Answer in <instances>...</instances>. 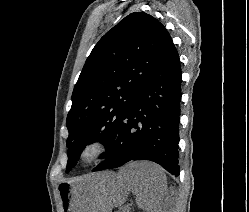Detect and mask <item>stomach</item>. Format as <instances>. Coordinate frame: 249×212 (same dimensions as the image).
<instances>
[{"instance_id": "obj_1", "label": "stomach", "mask_w": 249, "mask_h": 212, "mask_svg": "<svg viewBox=\"0 0 249 212\" xmlns=\"http://www.w3.org/2000/svg\"><path fill=\"white\" fill-rule=\"evenodd\" d=\"M80 180L63 182L58 190L63 212H109L123 204L126 184H119L109 170H95L94 174L80 175Z\"/></svg>"}]
</instances>
